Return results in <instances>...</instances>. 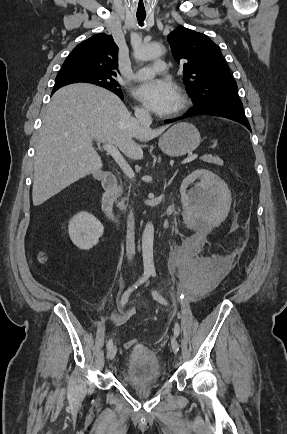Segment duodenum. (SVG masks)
Returning <instances> with one entry per match:
<instances>
[{"instance_id": "1", "label": "duodenum", "mask_w": 287, "mask_h": 434, "mask_svg": "<svg viewBox=\"0 0 287 434\" xmlns=\"http://www.w3.org/2000/svg\"><path fill=\"white\" fill-rule=\"evenodd\" d=\"M100 180L105 188V194L101 200V209L105 218L115 225H120V219L113 212V203L118 194L116 176L112 173H106L100 176Z\"/></svg>"}]
</instances>
